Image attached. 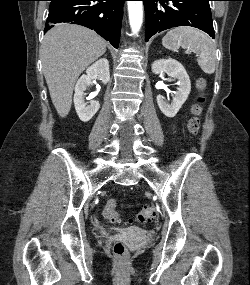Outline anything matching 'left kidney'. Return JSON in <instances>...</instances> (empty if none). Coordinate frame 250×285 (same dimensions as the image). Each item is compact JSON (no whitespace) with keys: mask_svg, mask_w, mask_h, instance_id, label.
<instances>
[{"mask_svg":"<svg viewBox=\"0 0 250 285\" xmlns=\"http://www.w3.org/2000/svg\"><path fill=\"white\" fill-rule=\"evenodd\" d=\"M154 74L166 73L169 77L177 79L178 88L171 103L165 101L161 95L157 96V104L161 112L169 117H174L188 98L191 91L189 76L181 63L174 59H160L152 64Z\"/></svg>","mask_w":250,"mask_h":285,"instance_id":"left-kidney-1","label":"left kidney"}]
</instances>
